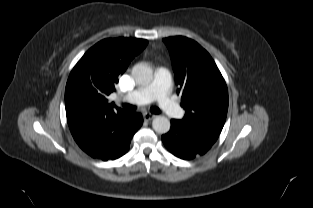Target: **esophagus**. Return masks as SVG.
<instances>
[{"mask_svg":"<svg viewBox=\"0 0 313 208\" xmlns=\"http://www.w3.org/2000/svg\"><path fill=\"white\" fill-rule=\"evenodd\" d=\"M155 117H156V115H154V114L147 113V112L143 113V118L146 121H150V120L154 119Z\"/></svg>","mask_w":313,"mask_h":208,"instance_id":"esophagus-1","label":"esophagus"}]
</instances>
